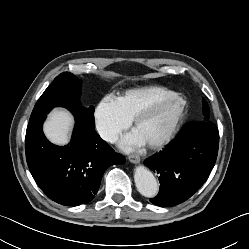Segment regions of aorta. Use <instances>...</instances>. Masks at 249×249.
Segmentation results:
<instances>
[{"mask_svg":"<svg viewBox=\"0 0 249 249\" xmlns=\"http://www.w3.org/2000/svg\"><path fill=\"white\" fill-rule=\"evenodd\" d=\"M134 181L139 193L145 197H155L158 193V184L152 174L144 166H138L135 169Z\"/></svg>","mask_w":249,"mask_h":249,"instance_id":"aorta-1","label":"aorta"}]
</instances>
